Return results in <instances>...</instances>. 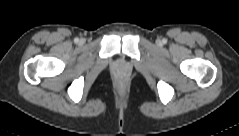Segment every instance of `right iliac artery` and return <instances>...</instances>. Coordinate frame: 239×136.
<instances>
[{
	"label": "right iliac artery",
	"mask_w": 239,
	"mask_h": 136,
	"mask_svg": "<svg viewBox=\"0 0 239 136\" xmlns=\"http://www.w3.org/2000/svg\"><path fill=\"white\" fill-rule=\"evenodd\" d=\"M74 42H75V43H78V42H79V39H78V38H75V39H74Z\"/></svg>",
	"instance_id": "82829eb1"
}]
</instances>
